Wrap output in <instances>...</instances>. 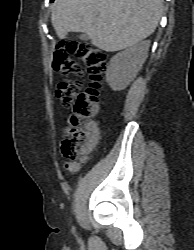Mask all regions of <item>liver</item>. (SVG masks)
<instances>
[{
	"label": "liver",
	"mask_w": 194,
	"mask_h": 250,
	"mask_svg": "<svg viewBox=\"0 0 194 250\" xmlns=\"http://www.w3.org/2000/svg\"><path fill=\"white\" fill-rule=\"evenodd\" d=\"M162 7L163 0H55L51 21L60 39L83 32L92 45L115 52L150 36Z\"/></svg>",
	"instance_id": "1"
}]
</instances>
